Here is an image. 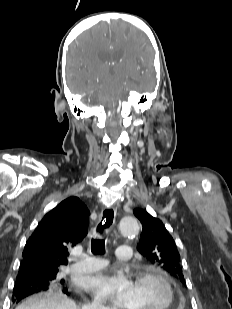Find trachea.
<instances>
[{
	"label": "trachea",
	"mask_w": 232,
	"mask_h": 309,
	"mask_svg": "<svg viewBox=\"0 0 232 309\" xmlns=\"http://www.w3.org/2000/svg\"><path fill=\"white\" fill-rule=\"evenodd\" d=\"M91 252L94 255L103 254L105 252V240L104 239H92L91 240Z\"/></svg>",
	"instance_id": "obj_1"
}]
</instances>
